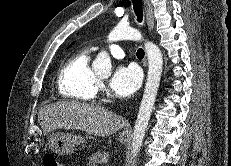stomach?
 Returning <instances> with one entry per match:
<instances>
[{"label":"stomach","instance_id":"obj_1","mask_svg":"<svg viewBox=\"0 0 231 166\" xmlns=\"http://www.w3.org/2000/svg\"><path fill=\"white\" fill-rule=\"evenodd\" d=\"M49 147L58 155H69L73 152L75 146L84 144L86 139L80 135H74L71 133H52L49 138ZM118 141L124 143L126 137L119 135Z\"/></svg>","mask_w":231,"mask_h":166}]
</instances>
